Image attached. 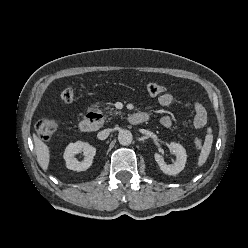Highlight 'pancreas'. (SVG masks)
Returning <instances> with one entry per match:
<instances>
[{"label":"pancreas","instance_id":"pancreas-1","mask_svg":"<svg viewBox=\"0 0 248 248\" xmlns=\"http://www.w3.org/2000/svg\"><path fill=\"white\" fill-rule=\"evenodd\" d=\"M110 114H112V112H110ZM114 114H120L119 111H115Z\"/></svg>","mask_w":248,"mask_h":248}]
</instances>
